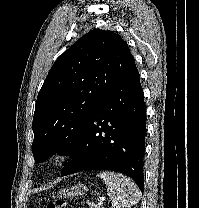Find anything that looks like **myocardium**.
<instances>
[{"label": "myocardium", "instance_id": "obj_1", "mask_svg": "<svg viewBox=\"0 0 199 208\" xmlns=\"http://www.w3.org/2000/svg\"><path fill=\"white\" fill-rule=\"evenodd\" d=\"M68 159L69 153L63 148L56 149L49 155V161L52 164L56 165L62 164L66 162Z\"/></svg>", "mask_w": 199, "mask_h": 208}]
</instances>
